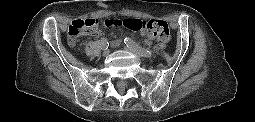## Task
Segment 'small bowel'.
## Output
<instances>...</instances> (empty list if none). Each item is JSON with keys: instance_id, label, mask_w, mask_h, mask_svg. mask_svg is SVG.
<instances>
[{"instance_id": "small-bowel-1", "label": "small bowel", "mask_w": 255, "mask_h": 122, "mask_svg": "<svg viewBox=\"0 0 255 122\" xmlns=\"http://www.w3.org/2000/svg\"><path fill=\"white\" fill-rule=\"evenodd\" d=\"M104 25L107 26L105 23H104ZM104 25H103V26H104ZM95 34H96V35H100V34H101V31L98 30V31L95 32ZM142 34H143V35H147V33H146L145 31H142ZM147 41L150 42V41H151V38L148 37ZM115 45H117V43H115Z\"/></svg>"}]
</instances>
